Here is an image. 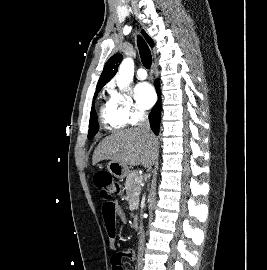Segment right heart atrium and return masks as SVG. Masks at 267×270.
<instances>
[{"mask_svg": "<svg viewBox=\"0 0 267 270\" xmlns=\"http://www.w3.org/2000/svg\"><path fill=\"white\" fill-rule=\"evenodd\" d=\"M109 102L116 115L126 124H136L144 117V112L139 110L128 93L116 89L113 83L109 84Z\"/></svg>", "mask_w": 267, "mask_h": 270, "instance_id": "d8ad5b80", "label": "right heart atrium"}]
</instances>
